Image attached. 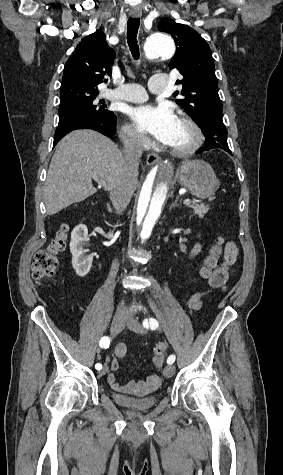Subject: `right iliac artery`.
<instances>
[{
    "instance_id": "obj_1",
    "label": "right iliac artery",
    "mask_w": 283,
    "mask_h": 475,
    "mask_svg": "<svg viewBox=\"0 0 283 475\" xmlns=\"http://www.w3.org/2000/svg\"><path fill=\"white\" fill-rule=\"evenodd\" d=\"M109 344H110V338L107 337V336L102 337L101 340H100V342H99V346H100L101 348H105V349L109 348ZM95 369H97V370L102 369V364L97 363V364L95 365Z\"/></svg>"
}]
</instances>
